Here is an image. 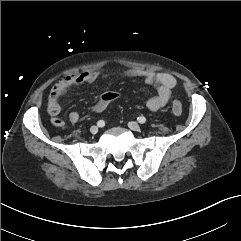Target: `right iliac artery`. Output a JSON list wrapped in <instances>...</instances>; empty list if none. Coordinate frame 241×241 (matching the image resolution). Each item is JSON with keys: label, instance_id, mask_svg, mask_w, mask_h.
Here are the masks:
<instances>
[{"label": "right iliac artery", "instance_id": "right-iliac-artery-1", "mask_svg": "<svg viewBox=\"0 0 241 241\" xmlns=\"http://www.w3.org/2000/svg\"><path fill=\"white\" fill-rule=\"evenodd\" d=\"M104 125H105V122L103 120H99L97 122V126H99V127H103Z\"/></svg>", "mask_w": 241, "mask_h": 241}]
</instances>
